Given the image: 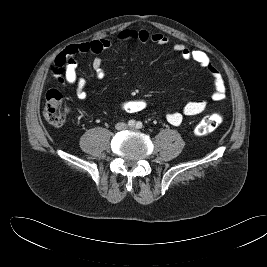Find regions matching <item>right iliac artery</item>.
Returning a JSON list of instances; mask_svg holds the SVG:
<instances>
[{"instance_id":"obj_1","label":"right iliac artery","mask_w":267,"mask_h":267,"mask_svg":"<svg viewBox=\"0 0 267 267\" xmlns=\"http://www.w3.org/2000/svg\"><path fill=\"white\" fill-rule=\"evenodd\" d=\"M128 126H129V127H134V126H135V121H134V120H130V121L128 122Z\"/></svg>"}]
</instances>
